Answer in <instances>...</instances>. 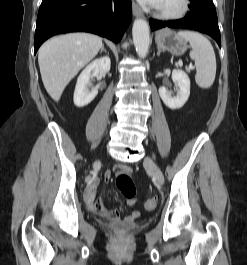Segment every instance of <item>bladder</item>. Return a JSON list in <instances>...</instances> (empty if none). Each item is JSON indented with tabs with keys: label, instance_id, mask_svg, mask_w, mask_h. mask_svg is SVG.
Instances as JSON below:
<instances>
[{
	"label": "bladder",
	"instance_id": "31cf9c89",
	"mask_svg": "<svg viewBox=\"0 0 247 265\" xmlns=\"http://www.w3.org/2000/svg\"><path fill=\"white\" fill-rule=\"evenodd\" d=\"M111 229L118 232H128L138 229L140 226L137 223L118 222L110 225Z\"/></svg>",
	"mask_w": 247,
	"mask_h": 265
}]
</instances>
